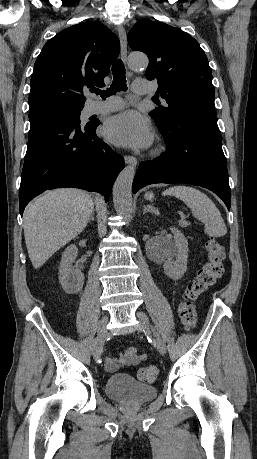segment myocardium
I'll list each match as a JSON object with an SVG mask.
<instances>
[{"mask_svg":"<svg viewBox=\"0 0 257 459\" xmlns=\"http://www.w3.org/2000/svg\"><path fill=\"white\" fill-rule=\"evenodd\" d=\"M156 151L158 152V151H160V149H157Z\"/></svg>","mask_w":257,"mask_h":459,"instance_id":"f54148a6","label":"myocardium"}]
</instances>
